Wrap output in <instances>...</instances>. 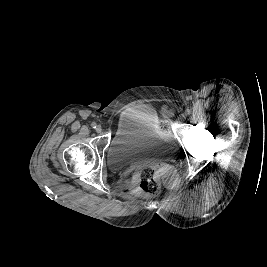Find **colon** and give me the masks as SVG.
Segmentation results:
<instances>
[{
  "instance_id": "colon-1",
  "label": "colon",
  "mask_w": 267,
  "mask_h": 267,
  "mask_svg": "<svg viewBox=\"0 0 267 267\" xmlns=\"http://www.w3.org/2000/svg\"><path fill=\"white\" fill-rule=\"evenodd\" d=\"M137 192L154 195L159 191L160 180L158 171L154 166H143L136 175Z\"/></svg>"
}]
</instances>
